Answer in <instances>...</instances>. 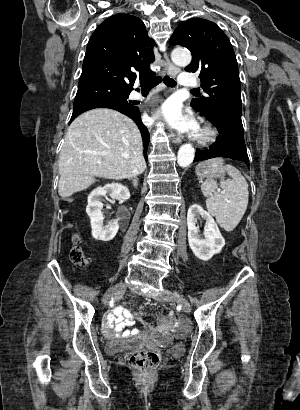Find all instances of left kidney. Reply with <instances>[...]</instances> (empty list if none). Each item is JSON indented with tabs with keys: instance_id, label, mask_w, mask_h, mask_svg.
I'll return each mask as SVG.
<instances>
[{
	"instance_id": "obj_1",
	"label": "left kidney",
	"mask_w": 300,
	"mask_h": 410,
	"mask_svg": "<svg viewBox=\"0 0 300 410\" xmlns=\"http://www.w3.org/2000/svg\"><path fill=\"white\" fill-rule=\"evenodd\" d=\"M202 217L205 221L204 238L199 236L197 219ZM188 242L195 256L203 261H208L213 255L220 253L225 245L220 230L213 217L200 205L193 204L187 212Z\"/></svg>"
}]
</instances>
